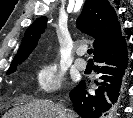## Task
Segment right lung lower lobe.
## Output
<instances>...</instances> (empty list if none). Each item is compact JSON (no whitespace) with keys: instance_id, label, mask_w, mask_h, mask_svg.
I'll list each match as a JSON object with an SVG mask.
<instances>
[{"instance_id":"obj_1","label":"right lung lower lobe","mask_w":133,"mask_h":118,"mask_svg":"<svg viewBox=\"0 0 133 118\" xmlns=\"http://www.w3.org/2000/svg\"><path fill=\"white\" fill-rule=\"evenodd\" d=\"M94 60L99 63L95 71L101 74L99 81H95V93L89 94L85 90L84 81L70 92V99L82 118L106 116L118 101L128 64L125 38L101 50Z\"/></svg>"}]
</instances>
